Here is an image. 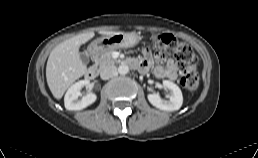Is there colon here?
<instances>
[{
	"label": "colon",
	"instance_id": "1",
	"mask_svg": "<svg viewBox=\"0 0 258 158\" xmlns=\"http://www.w3.org/2000/svg\"><path fill=\"white\" fill-rule=\"evenodd\" d=\"M152 46L156 49L170 48L179 68L183 70L180 77V84L188 91H194L199 84L197 74L190 68L198 61L197 55L187 44L177 41L172 36L163 34L152 38Z\"/></svg>",
	"mask_w": 258,
	"mask_h": 158
}]
</instances>
